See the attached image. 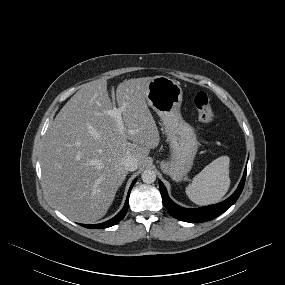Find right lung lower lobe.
<instances>
[{
	"instance_id": "right-lung-lower-lobe-1",
	"label": "right lung lower lobe",
	"mask_w": 285,
	"mask_h": 285,
	"mask_svg": "<svg viewBox=\"0 0 285 285\" xmlns=\"http://www.w3.org/2000/svg\"><path fill=\"white\" fill-rule=\"evenodd\" d=\"M135 182H136V179L133 181V183L129 189L127 199H126V202H125L123 209L114 218H112L109 221H106L104 223H100V224H94V225L80 224V225L83 227H86V228H90V229H98V228H108V227H111V226L117 224L125 216V214L127 212L128 205H129L130 191H131L133 185L135 184Z\"/></svg>"
}]
</instances>
